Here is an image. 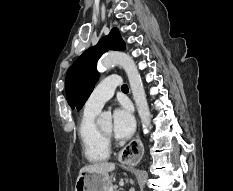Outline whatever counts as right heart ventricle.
I'll return each mask as SVG.
<instances>
[{"label": "right heart ventricle", "instance_id": "1", "mask_svg": "<svg viewBox=\"0 0 233 191\" xmlns=\"http://www.w3.org/2000/svg\"><path fill=\"white\" fill-rule=\"evenodd\" d=\"M97 114L98 112L85 110L78 126L83 153L92 163L105 161L110 155L108 142L99 133L95 122Z\"/></svg>", "mask_w": 233, "mask_h": 191}]
</instances>
